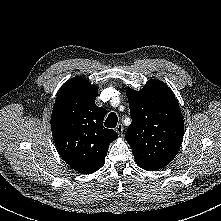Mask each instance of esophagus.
<instances>
[{
	"mask_svg": "<svg viewBox=\"0 0 221 221\" xmlns=\"http://www.w3.org/2000/svg\"><path fill=\"white\" fill-rule=\"evenodd\" d=\"M123 130H124V128H123L122 124H118L115 129V131L118 133V135H122Z\"/></svg>",
	"mask_w": 221,
	"mask_h": 221,
	"instance_id": "esophagus-1",
	"label": "esophagus"
}]
</instances>
